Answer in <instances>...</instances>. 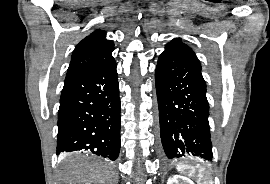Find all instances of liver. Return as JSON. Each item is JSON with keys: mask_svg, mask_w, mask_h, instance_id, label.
I'll return each mask as SVG.
<instances>
[{"mask_svg": "<svg viewBox=\"0 0 270 184\" xmlns=\"http://www.w3.org/2000/svg\"><path fill=\"white\" fill-rule=\"evenodd\" d=\"M116 179L112 165L105 162L80 163L59 174L63 184H115Z\"/></svg>", "mask_w": 270, "mask_h": 184, "instance_id": "obj_1", "label": "liver"}]
</instances>
